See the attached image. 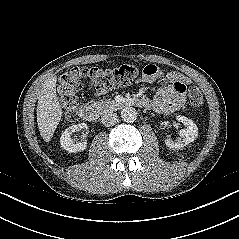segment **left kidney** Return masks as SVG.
Segmentation results:
<instances>
[{
  "label": "left kidney",
  "mask_w": 239,
  "mask_h": 239,
  "mask_svg": "<svg viewBox=\"0 0 239 239\" xmlns=\"http://www.w3.org/2000/svg\"><path fill=\"white\" fill-rule=\"evenodd\" d=\"M176 119L183 123L186 128L180 130V138L177 140L173 141L169 138L165 140L167 147L170 149L183 148L198 137V127L191 119L181 115L177 116Z\"/></svg>",
  "instance_id": "5707ae66"
}]
</instances>
